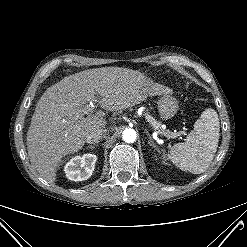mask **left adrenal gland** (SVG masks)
I'll list each match as a JSON object with an SVG mask.
<instances>
[{
    "mask_svg": "<svg viewBox=\"0 0 247 247\" xmlns=\"http://www.w3.org/2000/svg\"><path fill=\"white\" fill-rule=\"evenodd\" d=\"M145 133H146V135H147L148 138H149L148 144H150V146H152L157 152H159L157 146H156L155 143L153 142V140H152L150 134L148 133V131L145 130Z\"/></svg>",
    "mask_w": 247,
    "mask_h": 247,
    "instance_id": "left-adrenal-gland-1",
    "label": "left adrenal gland"
}]
</instances>
